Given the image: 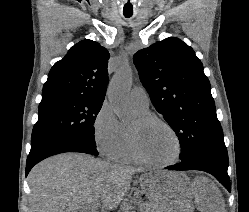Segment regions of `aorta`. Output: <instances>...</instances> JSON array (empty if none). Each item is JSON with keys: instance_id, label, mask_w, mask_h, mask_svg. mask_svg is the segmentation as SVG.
<instances>
[{"instance_id": "aorta-1", "label": "aorta", "mask_w": 249, "mask_h": 212, "mask_svg": "<svg viewBox=\"0 0 249 212\" xmlns=\"http://www.w3.org/2000/svg\"><path fill=\"white\" fill-rule=\"evenodd\" d=\"M132 83V68L128 63L121 65L115 72L108 87V99L114 112L121 120L131 115L128 95Z\"/></svg>"}]
</instances>
